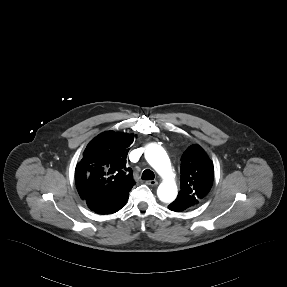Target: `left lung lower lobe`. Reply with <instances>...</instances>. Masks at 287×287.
Wrapping results in <instances>:
<instances>
[{
	"label": "left lung lower lobe",
	"instance_id": "left-lung-lower-lobe-1",
	"mask_svg": "<svg viewBox=\"0 0 287 287\" xmlns=\"http://www.w3.org/2000/svg\"><path fill=\"white\" fill-rule=\"evenodd\" d=\"M168 208H169L170 210H172V211L177 212V211L175 210V208H174V207H172L171 205H169V206H168Z\"/></svg>",
	"mask_w": 287,
	"mask_h": 287
}]
</instances>
